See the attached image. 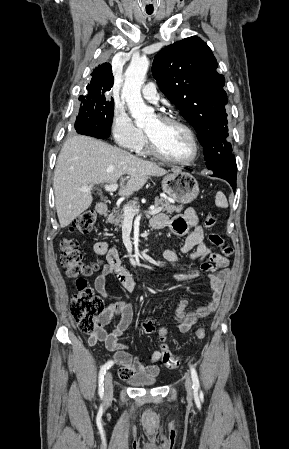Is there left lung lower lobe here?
<instances>
[{"mask_svg":"<svg viewBox=\"0 0 289 449\" xmlns=\"http://www.w3.org/2000/svg\"><path fill=\"white\" fill-rule=\"evenodd\" d=\"M220 178L225 179L226 181H228L230 183V185L232 186L233 190L236 189V177H220Z\"/></svg>","mask_w":289,"mask_h":449,"instance_id":"obj_1","label":"left lung lower lobe"}]
</instances>
